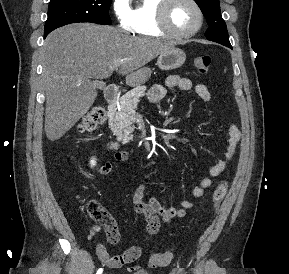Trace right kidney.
Wrapping results in <instances>:
<instances>
[{
  "label": "right kidney",
  "mask_w": 289,
  "mask_h": 274,
  "mask_svg": "<svg viewBox=\"0 0 289 274\" xmlns=\"http://www.w3.org/2000/svg\"><path fill=\"white\" fill-rule=\"evenodd\" d=\"M90 163H91V166H95L96 165V161L95 160H91Z\"/></svg>",
  "instance_id": "1"
}]
</instances>
